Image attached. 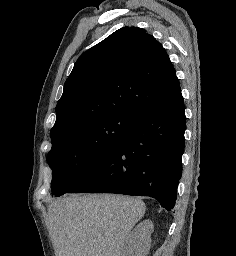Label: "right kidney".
Returning <instances> with one entry per match:
<instances>
[{"mask_svg": "<svg viewBox=\"0 0 236 256\" xmlns=\"http://www.w3.org/2000/svg\"><path fill=\"white\" fill-rule=\"evenodd\" d=\"M153 232L154 226L151 220L140 222L129 234L126 242V256H148Z\"/></svg>", "mask_w": 236, "mask_h": 256, "instance_id": "obj_1", "label": "right kidney"}]
</instances>
